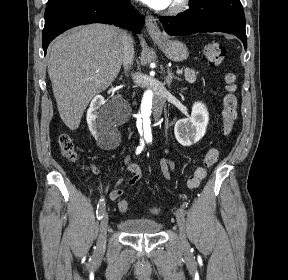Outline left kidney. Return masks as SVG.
I'll use <instances>...</instances> for the list:
<instances>
[{"label":"left kidney","mask_w":288,"mask_h":280,"mask_svg":"<svg viewBox=\"0 0 288 280\" xmlns=\"http://www.w3.org/2000/svg\"><path fill=\"white\" fill-rule=\"evenodd\" d=\"M209 122V113L201 102H195L192 106L191 116L177 121L174 134L177 141L183 146H191L197 143L206 133Z\"/></svg>","instance_id":"left-kidney-1"}]
</instances>
